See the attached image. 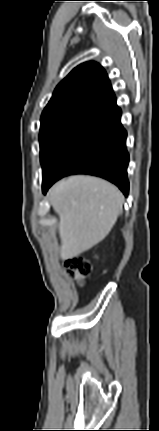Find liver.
<instances>
[{
    "mask_svg": "<svg viewBox=\"0 0 159 431\" xmlns=\"http://www.w3.org/2000/svg\"><path fill=\"white\" fill-rule=\"evenodd\" d=\"M59 216L60 258H73L99 242L111 231L124 197L113 184L91 176L61 180L48 192Z\"/></svg>",
    "mask_w": 159,
    "mask_h": 431,
    "instance_id": "liver-1",
    "label": "liver"
}]
</instances>
